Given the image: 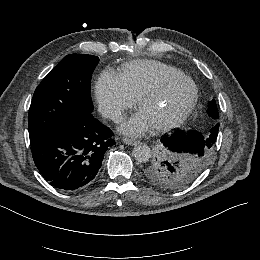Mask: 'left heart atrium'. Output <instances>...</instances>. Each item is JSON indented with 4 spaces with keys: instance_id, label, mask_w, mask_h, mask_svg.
<instances>
[{
    "instance_id": "1",
    "label": "left heart atrium",
    "mask_w": 260,
    "mask_h": 260,
    "mask_svg": "<svg viewBox=\"0 0 260 260\" xmlns=\"http://www.w3.org/2000/svg\"><path fill=\"white\" fill-rule=\"evenodd\" d=\"M152 127V123L146 114L139 110L121 125V131L128 135L139 136L147 132Z\"/></svg>"
}]
</instances>
